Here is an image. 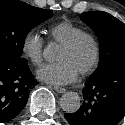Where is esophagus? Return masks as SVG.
Masks as SVG:
<instances>
[{"mask_svg":"<svg viewBox=\"0 0 125 125\" xmlns=\"http://www.w3.org/2000/svg\"><path fill=\"white\" fill-rule=\"evenodd\" d=\"M53 89L58 93H64L66 92V89L60 86H54Z\"/></svg>","mask_w":125,"mask_h":125,"instance_id":"1","label":"esophagus"}]
</instances>
